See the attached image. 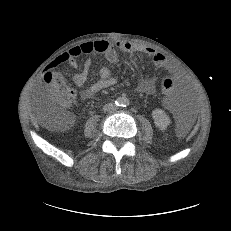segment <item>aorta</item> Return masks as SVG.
<instances>
[{
    "instance_id": "1",
    "label": "aorta",
    "mask_w": 231,
    "mask_h": 231,
    "mask_svg": "<svg viewBox=\"0 0 231 231\" xmlns=\"http://www.w3.org/2000/svg\"><path fill=\"white\" fill-rule=\"evenodd\" d=\"M117 102L120 106H126L129 104V100L125 96L119 97Z\"/></svg>"
}]
</instances>
